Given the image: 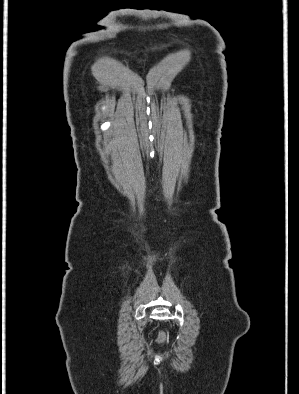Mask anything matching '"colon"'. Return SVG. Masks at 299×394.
I'll return each instance as SVG.
<instances>
[{
    "label": "colon",
    "instance_id": "5ec220e1",
    "mask_svg": "<svg viewBox=\"0 0 299 394\" xmlns=\"http://www.w3.org/2000/svg\"><path fill=\"white\" fill-rule=\"evenodd\" d=\"M167 340H168V336H167L166 332L161 331V332L159 333L158 338H157V343H158V344H163V343H165Z\"/></svg>",
    "mask_w": 299,
    "mask_h": 394
}]
</instances>
